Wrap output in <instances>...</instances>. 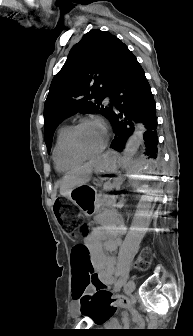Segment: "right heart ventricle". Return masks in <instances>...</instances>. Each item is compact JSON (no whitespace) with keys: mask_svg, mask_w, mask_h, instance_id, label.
<instances>
[{"mask_svg":"<svg viewBox=\"0 0 193 336\" xmlns=\"http://www.w3.org/2000/svg\"><path fill=\"white\" fill-rule=\"evenodd\" d=\"M70 126L64 125L59 128L53 148V160L59 172H71L80 166L85 158L74 155L68 147V133Z\"/></svg>","mask_w":193,"mask_h":336,"instance_id":"right-heart-ventricle-1","label":"right heart ventricle"}]
</instances>
